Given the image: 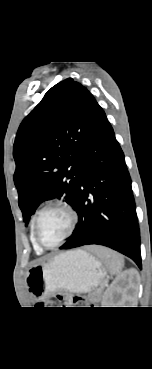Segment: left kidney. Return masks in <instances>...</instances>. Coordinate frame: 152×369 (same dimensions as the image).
Segmentation results:
<instances>
[{"label":"left kidney","mask_w":152,"mask_h":369,"mask_svg":"<svg viewBox=\"0 0 152 369\" xmlns=\"http://www.w3.org/2000/svg\"><path fill=\"white\" fill-rule=\"evenodd\" d=\"M139 284V274L135 269L124 272L112 286L106 290L102 297L103 307H120L129 299L128 293L137 290Z\"/></svg>","instance_id":"1"}]
</instances>
